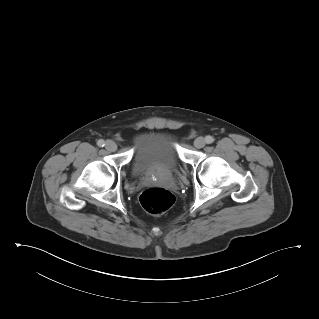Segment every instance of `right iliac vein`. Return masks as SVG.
<instances>
[{
  "label": "right iliac vein",
  "mask_w": 319,
  "mask_h": 319,
  "mask_svg": "<svg viewBox=\"0 0 319 319\" xmlns=\"http://www.w3.org/2000/svg\"><path fill=\"white\" fill-rule=\"evenodd\" d=\"M105 147L108 151H115L117 149V144L112 140H108Z\"/></svg>",
  "instance_id": "obj_1"
}]
</instances>
